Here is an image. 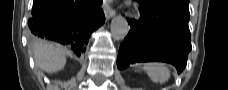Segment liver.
Listing matches in <instances>:
<instances>
[{
	"mask_svg": "<svg viewBox=\"0 0 228 90\" xmlns=\"http://www.w3.org/2000/svg\"><path fill=\"white\" fill-rule=\"evenodd\" d=\"M33 48L35 63L41 69L48 73H55L64 68L66 58L58 47L40 40L34 43Z\"/></svg>",
	"mask_w": 228,
	"mask_h": 90,
	"instance_id": "liver-1",
	"label": "liver"
}]
</instances>
